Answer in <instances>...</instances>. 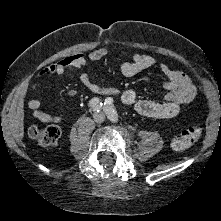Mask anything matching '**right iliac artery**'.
I'll use <instances>...</instances> for the list:
<instances>
[{
	"instance_id": "obj_1",
	"label": "right iliac artery",
	"mask_w": 221,
	"mask_h": 221,
	"mask_svg": "<svg viewBox=\"0 0 221 221\" xmlns=\"http://www.w3.org/2000/svg\"><path fill=\"white\" fill-rule=\"evenodd\" d=\"M102 102L100 101L99 98H92L89 101V107L94 111V112H99L102 109Z\"/></svg>"
}]
</instances>
